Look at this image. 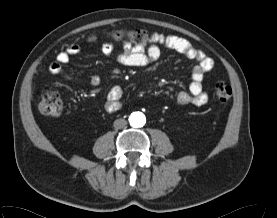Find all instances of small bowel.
Listing matches in <instances>:
<instances>
[{"label": "small bowel", "instance_id": "small-bowel-1", "mask_svg": "<svg viewBox=\"0 0 277 218\" xmlns=\"http://www.w3.org/2000/svg\"><path fill=\"white\" fill-rule=\"evenodd\" d=\"M162 45L197 62V65L193 68L191 73L189 89L188 91H183L178 94V102L183 105H204L208 100V96L203 91L202 82L205 73L212 69L213 60L203 51L195 48L188 40L179 36L154 34L152 36V44L146 50L140 47L125 45L123 52L118 55L117 59L119 63L124 66H146L160 58ZM80 51V47L76 44H72L60 51L55 60L50 63L48 67L49 72L53 75L66 77L68 73L65 66L70 62L71 58L78 55ZM102 53L105 56H112L113 46L109 43L104 44L102 46ZM89 83L92 86H97L100 83V78L94 75L90 77ZM121 94V90L118 87H114L110 92V101L117 100L121 97Z\"/></svg>", "mask_w": 277, "mask_h": 218}]
</instances>
